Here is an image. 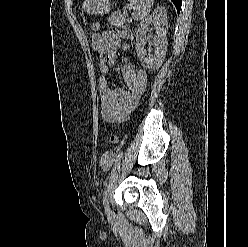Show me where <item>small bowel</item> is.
I'll return each mask as SVG.
<instances>
[{
	"instance_id": "small-bowel-1",
	"label": "small bowel",
	"mask_w": 248,
	"mask_h": 247,
	"mask_svg": "<svg viewBox=\"0 0 248 247\" xmlns=\"http://www.w3.org/2000/svg\"><path fill=\"white\" fill-rule=\"evenodd\" d=\"M120 36L129 39L131 34L128 31H105L102 34L95 35L92 40V47L98 57L101 115L109 123L126 120L138 101L133 99L131 93L136 78V71L133 65L126 63L120 69L122 79L128 90L112 88L110 86L111 67L116 64L120 56V50L127 48L126 44H122ZM118 140L119 137L116 133H109L110 143H117ZM113 160L114 154L111 151L105 152L101 158V167L105 170L109 169Z\"/></svg>"
}]
</instances>
